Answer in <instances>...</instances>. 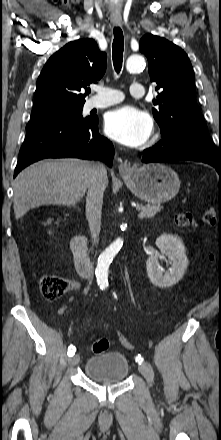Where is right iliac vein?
Listing matches in <instances>:
<instances>
[{"mask_svg": "<svg viewBox=\"0 0 221 440\" xmlns=\"http://www.w3.org/2000/svg\"><path fill=\"white\" fill-rule=\"evenodd\" d=\"M79 362V355H74L69 359L70 365H76Z\"/></svg>", "mask_w": 221, "mask_h": 440, "instance_id": "right-iliac-vein-1", "label": "right iliac vein"}]
</instances>
